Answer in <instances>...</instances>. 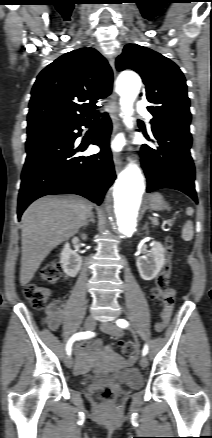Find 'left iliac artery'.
<instances>
[{"mask_svg":"<svg viewBox=\"0 0 212 438\" xmlns=\"http://www.w3.org/2000/svg\"><path fill=\"white\" fill-rule=\"evenodd\" d=\"M116 324L121 328H127L129 326V323L124 319H118L116 321ZM148 353V346L144 345V348L142 350V355L145 356Z\"/></svg>","mask_w":212,"mask_h":438,"instance_id":"44dca946","label":"left iliac artery"}]
</instances>
